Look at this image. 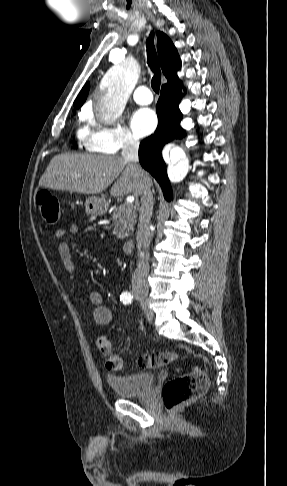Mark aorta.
<instances>
[{
  "instance_id": "aorta-1",
  "label": "aorta",
  "mask_w": 287,
  "mask_h": 486,
  "mask_svg": "<svg viewBox=\"0 0 287 486\" xmlns=\"http://www.w3.org/2000/svg\"><path fill=\"white\" fill-rule=\"evenodd\" d=\"M131 90L128 76L115 72L108 75L104 87L95 99V113L97 118L105 123L115 121L123 112L126 98ZM171 159L168 177L173 183L182 181L188 172V162L183 151L173 147L170 151Z\"/></svg>"
}]
</instances>
